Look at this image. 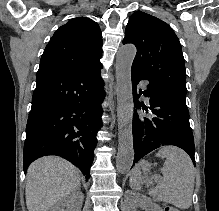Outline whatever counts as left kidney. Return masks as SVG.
I'll list each match as a JSON object with an SVG mask.
<instances>
[{"label":"left kidney","instance_id":"left-kidney-1","mask_svg":"<svg viewBox=\"0 0 219 211\" xmlns=\"http://www.w3.org/2000/svg\"><path fill=\"white\" fill-rule=\"evenodd\" d=\"M137 207H142V209H148V211H163L160 205L157 203H148L147 199H142V197H136Z\"/></svg>","mask_w":219,"mask_h":211}]
</instances>
